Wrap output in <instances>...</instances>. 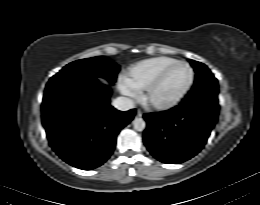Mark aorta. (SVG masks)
Returning a JSON list of instances; mask_svg holds the SVG:
<instances>
[{
    "mask_svg": "<svg viewBox=\"0 0 260 205\" xmlns=\"http://www.w3.org/2000/svg\"><path fill=\"white\" fill-rule=\"evenodd\" d=\"M133 126L136 131H143L146 127V123L142 118H135L133 120Z\"/></svg>",
    "mask_w": 260,
    "mask_h": 205,
    "instance_id": "aorta-1",
    "label": "aorta"
}]
</instances>
